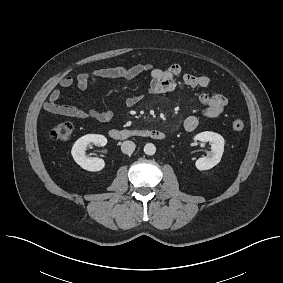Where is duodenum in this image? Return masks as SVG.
Masks as SVG:
<instances>
[{"label": "duodenum", "mask_w": 283, "mask_h": 283, "mask_svg": "<svg viewBox=\"0 0 283 283\" xmlns=\"http://www.w3.org/2000/svg\"><path fill=\"white\" fill-rule=\"evenodd\" d=\"M110 137L114 140H127L135 137L163 140L166 137V133L161 130L112 129Z\"/></svg>", "instance_id": "obj_1"}]
</instances>
